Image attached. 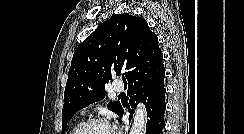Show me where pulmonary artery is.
Returning a JSON list of instances; mask_svg holds the SVG:
<instances>
[{
    "mask_svg": "<svg viewBox=\"0 0 244 134\" xmlns=\"http://www.w3.org/2000/svg\"><path fill=\"white\" fill-rule=\"evenodd\" d=\"M113 90L116 92H122L124 90V84L121 81H116L113 84Z\"/></svg>",
    "mask_w": 244,
    "mask_h": 134,
    "instance_id": "1",
    "label": "pulmonary artery"
}]
</instances>
